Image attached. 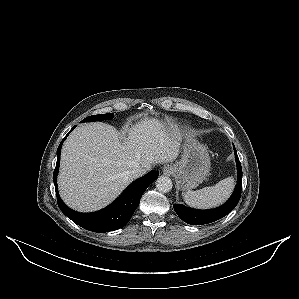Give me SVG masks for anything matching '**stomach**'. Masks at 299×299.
<instances>
[{"mask_svg": "<svg viewBox=\"0 0 299 299\" xmlns=\"http://www.w3.org/2000/svg\"><path fill=\"white\" fill-rule=\"evenodd\" d=\"M210 165L207 147L193 135H188L183 144L182 158L173 165V174L183 190H190L205 180Z\"/></svg>", "mask_w": 299, "mask_h": 299, "instance_id": "1", "label": "stomach"}]
</instances>
